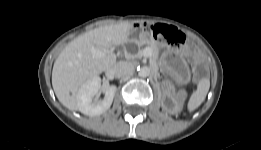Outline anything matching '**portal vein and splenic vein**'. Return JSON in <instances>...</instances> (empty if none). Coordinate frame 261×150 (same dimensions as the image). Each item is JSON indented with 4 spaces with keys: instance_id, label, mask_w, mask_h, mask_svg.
<instances>
[{
    "instance_id": "1",
    "label": "portal vein and splenic vein",
    "mask_w": 261,
    "mask_h": 150,
    "mask_svg": "<svg viewBox=\"0 0 261 150\" xmlns=\"http://www.w3.org/2000/svg\"><path fill=\"white\" fill-rule=\"evenodd\" d=\"M90 51L92 53L93 58L102 57V56L105 55V51H103V50H101L99 48L92 47ZM144 53L147 54L148 53V49H145Z\"/></svg>"
}]
</instances>
